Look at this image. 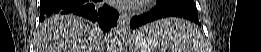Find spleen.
<instances>
[{
    "instance_id": "1",
    "label": "spleen",
    "mask_w": 261,
    "mask_h": 52,
    "mask_svg": "<svg viewBox=\"0 0 261 52\" xmlns=\"http://www.w3.org/2000/svg\"><path fill=\"white\" fill-rule=\"evenodd\" d=\"M146 27L159 37L163 52H204L199 51L200 32L188 21L168 18Z\"/></svg>"
}]
</instances>
